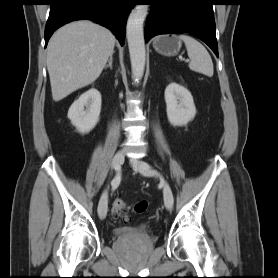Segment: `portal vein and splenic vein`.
<instances>
[{"instance_id":"obj_1","label":"portal vein and splenic vein","mask_w":278,"mask_h":278,"mask_svg":"<svg viewBox=\"0 0 278 278\" xmlns=\"http://www.w3.org/2000/svg\"><path fill=\"white\" fill-rule=\"evenodd\" d=\"M182 60H184L185 62H188L189 60L188 59H183V58H181Z\"/></svg>"}]
</instances>
